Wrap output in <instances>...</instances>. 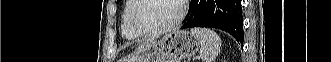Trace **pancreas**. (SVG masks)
<instances>
[{"label": "pancreas", "mask_w": 331, "mask_h": 62, "mask_svg": "<svg viewBox=\"0 0 331 62\" xmlns=\"http://www.w3.org/2000/svg\"><path fill=\"white\" fill-rule=\"evenodd\" d=\"M168 62H173V61H171V60H168Z\"/></svg>", "instance_id": "1"}]
</instances>
